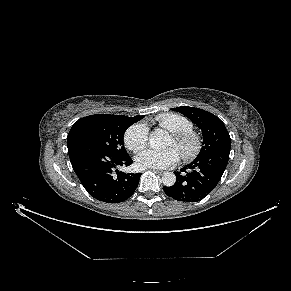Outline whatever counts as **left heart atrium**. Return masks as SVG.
I'll list each match as a JSON object with an SVG mask.
<instances>
[{"label":"left heart atrium","mask_w":291,"mask_h":291,"mask_svg":"<svg viewBox=\"0 0 291 291\" xmlns=\"http://www.w3.org/2000/svg\"><path fill=\"white\" fill-rule=\"evenodd\" d=\"M179 150L172 146L164 150L146 148L136 156V162L141 168H168L178 162Z\"/></svg>","instance_id":"obj_1"}]
</instances>
